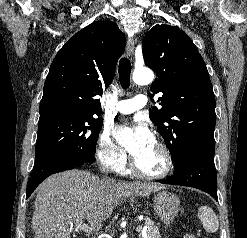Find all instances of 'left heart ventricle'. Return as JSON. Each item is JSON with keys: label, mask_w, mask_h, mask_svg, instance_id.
<instances>
[{"label": "left heart ventricle", "mask_w": 247, "mask_h": 238, "mask_svg": "<svg viewBox=\"0 0 247 238\" xmlns=\"http://www.w3.org/2000/svg\"><path fill=\"white\" fill-rule=\"evenodd\" d=\"M134 160L137 166L147 173H159L164 167L163 156L155 144L145 149Z\"/></svg>", "instance_id": "1"}]
</instances>
